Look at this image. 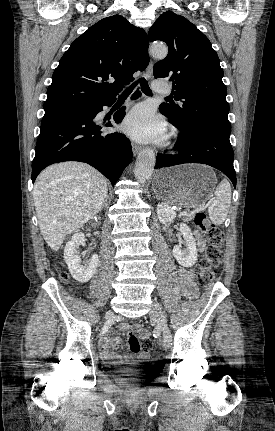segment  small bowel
Masks as SVG:
<instances>
[{
  "instance_id": "1",
  "label": "small bowel",
  "mask_w": 275,
  "mask_h": 431,
  "mask_svg": "<svg viewBox=\"0 0 275 431\" xmlns=\"http://www.w3.org/2000/svg\"><path fill=\"white\" fill-rule=\"evenodd\" d=\"M194 236L197 242V248L199 251H202L205 247V241L202 236L195 232ZM179 277H180V286L182 289V293L187 298H194L197 295V289L194 283V270L187 268L179 269ZM120 329L122 330H134L139 333V335L144 339L148 340L149 333L148 331L137 324H121ZM120 343V338L118 336H110L105 335L101 338L99 347L101 351V355L109 360H116L119 358V354L117 352V347Z\"/></svg>"
}]
</instances>
